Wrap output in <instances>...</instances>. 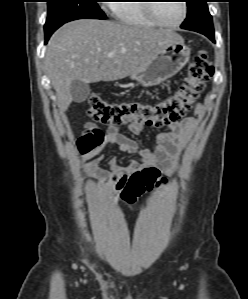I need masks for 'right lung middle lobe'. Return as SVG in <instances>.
<instances>
[{
  "label": "right lung middle lobe",
  "mask_w": 248,
  "mask_h": 299,
  "mask_svg": "<svg viewBox=\"0 0 248 299\" xmlns=\"http://www.w3.org/2000/svg\"><path fill=\"white\" fill-rule=\"evenodd\" d=\"M48 13L45 23V38L48 41L52 33L66 22L91 18L106 19L97 0H47Z\"/></svg>",
  "instance_id": "right-lung-middle-lobe-1"
}]
</instances>
